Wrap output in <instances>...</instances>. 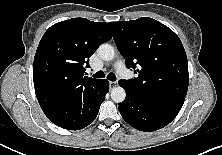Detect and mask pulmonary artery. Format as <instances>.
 I'll return each mask as SVG.
<instances>
[{
    "mask_svg": "<svg viewBox=\"0 0 222 155\" xmlns=\"http://www.w3.org/2000/svg\"><path fill=\"white\" fill-rule=\"evenodd\" d=\"M115 68H116L117 72L119 73V75H121L123 77L128 76V70L126 69L123 61L120 60V61L116 62Z\"/></svg>",
    "mask_w": 222,
    "mask_h": 155,
    "instance_id": "e3ab8cb5",
    "label": "pulmonary artery"
}]
</instances>
